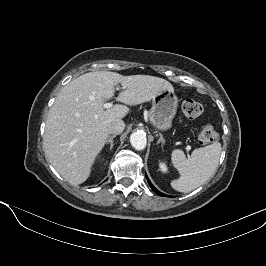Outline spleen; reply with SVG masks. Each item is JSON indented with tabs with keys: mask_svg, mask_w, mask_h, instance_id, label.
Instances as JSON below:
<instances>
[{
	"mask_svg": "<svg viewBox=\"0 0 266 266\" xmlns=\"http://www.w3.org/2000/svg\"><path fill=\"white\" fill-rule=\"evenodd\" d=\"M220 154L219 142L195 149L189 158H186L182 150H173L171 161L180 177L171 182L172 188L187 193L201 186L215 173Z\"/></svg>",
	"mask_w": 266,
	"mask_h": 266,
	"instance_id": "spleen-1",
	"label": "spleen"
}]
</instances>
